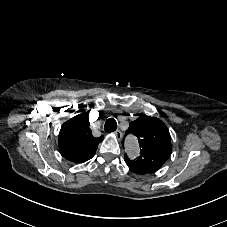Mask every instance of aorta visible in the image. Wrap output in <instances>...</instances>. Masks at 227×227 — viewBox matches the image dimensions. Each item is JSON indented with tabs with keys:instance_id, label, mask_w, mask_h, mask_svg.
Here are the masks:
<instances>
[{
	"instance_id": "aorta-1",
	"label": "aorta",
	"mask_w": 227,
	"mask_h": 227,
	"mask_svg": "<svg viewBox=\"0 0 227 227\" xmlns=\"http://www.w3.org/2000/svg\"><path fill=\"white\" fill-rule=\"evenodd\" d=\"M127 150L130 156H137L139 153V148L136 140L131 138L128 140Z\"/></svg>"
}]
</instances>
